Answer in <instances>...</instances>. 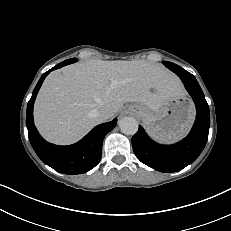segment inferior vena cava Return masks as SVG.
<instances>
[{
  "instance_id": "602c4592",
  "label": "inferior vena cava",
  "mask_w": 231,
  "mask_h": 231,
  "mask_svg": "<svg viewBox=\"0 0 231 231\" xmlns=\"http://www.w3.org/2000/svg\"><path fill=\"white\" fill-rule=\"evenodd\" d=\"M96 116L99 119V121L102 123L109 120L112 117V114L107 110H100L98 111Z\"/></svg>"
}]
</instances>
